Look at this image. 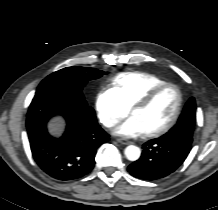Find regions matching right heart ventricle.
<instances>
[{
    "label": "right heart ventricle",
    "mask_w": 218,
    "mask_h": 210,
    "mask_svg": "<svg viewBox=\"0 0 218 210\" xmlns=\"http://www.w3.org/2000/svg\"><path fill=\"white\" fill-rule=\"evenodd\" d=\"M165 81L145 72H124L111 80V88L120 96L127 107H132L140 98Z\"/></svg>",
    "instance_id": "right-heart-ventricle-1"
}]
</instances>
